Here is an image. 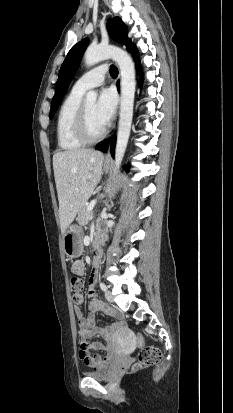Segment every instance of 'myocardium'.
Masks as SVG:
<instances>
[{
    "mask_svg": "<svg viewBox=\"0 0 233 413\" xmlns=\"http://www.w3.org/2000/svg\"><path fill=\"white\" fill-rule=\"evenodd\" d=\"M106 132L107 128L104 127L103 130L97 135H92L90 133L86 106L85 104H82L75 123L76 137L84 144H93L102 140L106 135Z\"/></svg>",
    "mask_w": 233,
    "mask_h": 413,
    "instance_id": "myocardium-1",
    "label": "myocardium"
}]
</instances>
